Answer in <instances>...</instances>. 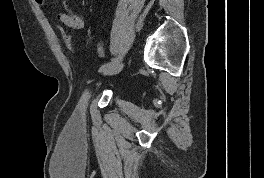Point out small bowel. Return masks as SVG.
Masks as SVG:
<instances>
[{
    "label": "small bowel",
    "mask_w": 264,
    "mask_h": 178,
    "mask_svg": "<svg viewBox=\"0 0 264 178\" xmlns=\"http://www.w3.org/2000/svg\"><path fill=\"white\" fill-rule=\"evenodd\" d=\"M62 1L65 8V12H60L57 15L58 21L74 31L82 30L85 24L82 16H80L79 14L73 11L69 3V0H62ZM35 2L42 8H48V9L53 8V5L50 2V0H35ZM99 54L101 56H104L103 49H99Z\"/></svg>",
    "instance_id": "small-bowel-1"
}]
</instances>
